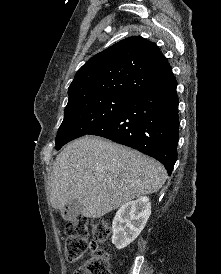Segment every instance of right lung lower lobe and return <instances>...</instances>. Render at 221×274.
<instances>
[{"label": "right lung lower lobe", "instance_id": "right-lung-lower-lobe-1", "mask_svg": "<svg viewBox=\"0 0 221 274\" xmlns=\"http://www.w3.org/2000/svg\"><path fill=\"white\" fill-rule=\"evenodd\" d=\"M177 82L172 71L133 97L113 118L89 135L105 137L160 161L168 174L177 160Z\"/></svg>", "mask_w": 221, "mask_h": 274}]
</instances>
